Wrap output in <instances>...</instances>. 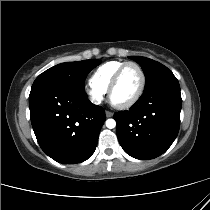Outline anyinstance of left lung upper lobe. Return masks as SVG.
<instances>
[{
  "mask_svg": "<svg viewBox=\"0 0 210 210\" xmlns=\"http://www.w3.org/2000/svg\"><path fill=\"white\" fill-rule=\"evenodd\" d=\"M130 59L135 60L143 69L146 77V87L169 77H173V73L161 63L149 58L141 56H130Z\"/></svg>",
  "mask_w": 210,
  "mask_h": 210,
  "instance_id": "5c2ea615",
  "label": "left lung upper lobe"
}]
</instances>
